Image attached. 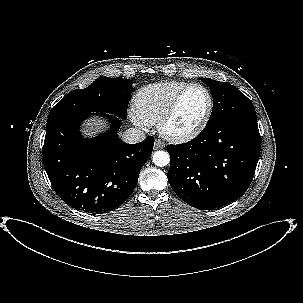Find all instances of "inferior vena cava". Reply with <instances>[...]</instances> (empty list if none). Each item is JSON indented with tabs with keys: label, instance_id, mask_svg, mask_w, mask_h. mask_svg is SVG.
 <instances>
[{
	"label": "inferior vena cava",
	"instance_id": "obj_1",
	"mask_svg": "<svg viewBox=\"0 0 303 303\" xmlns=\"http://www.w3.org/2000/svg\"><path fill=\"white\" fill-rule=\"evenodd\" d=\"M146 138L145 133L137 128H129L122 134L124 142L129 144H135L143 141Z\"/></svg>",
	"mask_w": 303,
	"mask_h": 303
}]
</instances>
